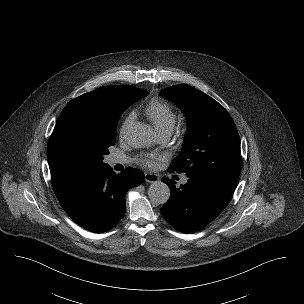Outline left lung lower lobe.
<instances>
[{"label": "left lung lower lobe", "mask_w": 304, "mask_h": 304, "mask_svg": "<svg viewBox=\"0 0 304 304\" xmlns=\"http://www.w3.org/2000/svg\"><path fill=\"white\" fill-rule=\"evenodd\" d=\"M171 195L161 208L163 218L176 230L190 233L213 221L229 202L235 187L208 180L189 178L179 188L175 181L163 177Z\"/></svg>", "instance_id": "0a47b994"}]
</instances>
